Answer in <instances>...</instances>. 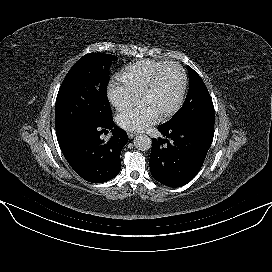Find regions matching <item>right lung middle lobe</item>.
<instances>
[{
  "label": "right lung middle lobe",
  "instance_id": "obj_1",
  "mask_svg": "<svg viewBox=\"0 0 272 272\" xmlns=\"http://www.w3.org/2000/svg\"><path fill=\"white\" fill-rule=\"evenodd\" d=\"M115 55L90 53L80 58L64 78L55 105L58 142L86 125L112 118L107 98L111 62Z\"/></svg>",
  "mask_w": 272,
  "mask_h": 272
}]
</instances>
